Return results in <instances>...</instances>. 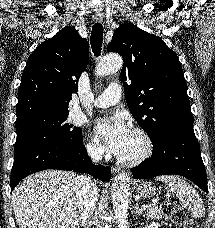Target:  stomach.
I'll return each instance as SVG.
<instances>
[{"mask_svg":"<svg viewBox=\"0 0 215 228\" xmlns=\"http://www.w3.org/2000/svg\"><path fill=\"white\" fill-rule=\"evenodd\" d=\"M134 186L137 190L138 196H141V198H152L155 192V188L150 184V182H142V180H140V182H136Z\"/></svg>","mask_w":215,"mask_h":228,"instance_id":"0dacf381","label":"stomach"}]
</instances>
